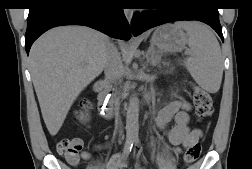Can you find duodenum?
<instances>
[{
  "mask_svg": "<svg viewBox=\"0 0 252 169\" xmlns=\"http://www.w3.org/2000/svg\"><path fill=\"white\" fill-rule=\"evenodd\" d=\"M94 90L98 94V101L101 110L103 111V117L109 120L112 117L111 105L112 102L109 100L107 92L105 90V84L99 81L95 84Z\"/></svg>",
  "mask_w": 252,
  "mask_h": 169,
  "instance_id": "obj_1",
  "label": "duodenum"
}]
</instances>
